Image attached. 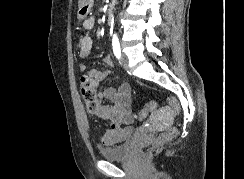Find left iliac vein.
<instances>
[{"label": "left iliac vein", "instance_id": "1", "mask_svg": "<svg viewBox=\"0 0 244 179\" xmlns=\"http://www.w3.org/2000/svg\"><path fill=\"white\" fill-rule=\"evenodd\" d=\"M121 61H122V64H123V66L125 67V68H128V58H127V56L125 55V54H123L122 55V59H121Z\"/></svg>", "mask_w": 244, "mask_h": 179}]
</instances>
